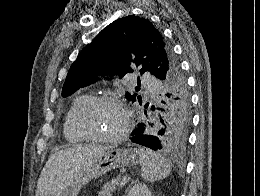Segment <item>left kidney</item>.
<instances>
[{"label":"left kidney","instance_id":"1","mask_svg":"<svg viewBox=\"0 0 260 196\" xmlns=\"http://www.w3.org/2000/svg\"><path fill=\"white\" fill-rule=\"evenodd\" d=\"M127 196H153V194L149 192L146 184H135L130 188Z\"/></svg>","mask_w":260,"mask_h":196}]
</instances>
